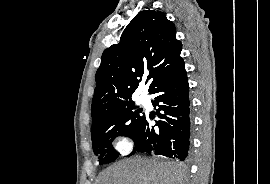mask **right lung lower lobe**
Here are the masks:
<instances>
[{
    "instance_id": "obj_1",
    "label": "right lung lower lobe",
    "mask_w": 270,
    "mask_h": 184,
    "mask_svg": "<svg viewBox=\"0 0 270 184\" xmlns=\"http://www.w3.org/2000/svg\"><path fill=\"white\" fill-rule=\"evenodd\" d=\"M156 94L154 107L158 106V129L144 119L133 138L135 151L178 158L184 161L190 146L189 86L183 59L149 91Z\"/></svg>"
}]
</instances>
